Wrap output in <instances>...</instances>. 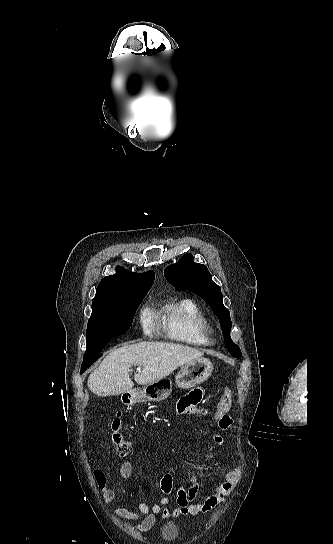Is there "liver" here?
<instances>
[{
  "mask_svg": "<svg viewBox=\"0 0 333 544\" xmlns=\"http://www.w3.org/2000/svg\"><path fill=\"white\" fill-rule=\"evenodd\" d=\"M202 356L203 352L197 349L175 343L144 341L124 345L111 351L90 374L88 387L98 396L118 395L134 386L129 377L132 366L143 367L134 380L147 385Z\"/></svg>",
  "mask_w": 333,
  "mask_h": 544,
  "instance_id": "1",
  "label": "liver"
}]
</instances>
